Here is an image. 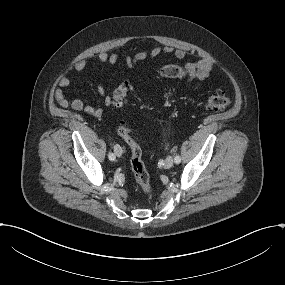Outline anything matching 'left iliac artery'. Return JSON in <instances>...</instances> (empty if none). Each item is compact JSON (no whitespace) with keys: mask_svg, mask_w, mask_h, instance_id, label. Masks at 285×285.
Here are the masks:
<instances>
[{"mask_svg":"<svg viewBox=\"0 0 285 285\" xmlns=\"http://www.w3.org/2000/svg\"><path fill=\"white\" fill-rule=\"evenodd\" d=\"M174 162H175L176 164L180 163V162H181L180 156L177 155V156L174 158Z\"/></svg>","mask_w":285,"mask_h":285,"instance_id":"obj_1","label":"left iliac artery"}]
</instances>
